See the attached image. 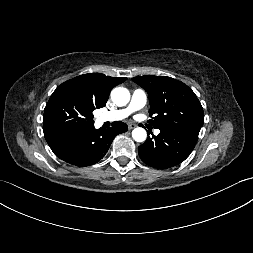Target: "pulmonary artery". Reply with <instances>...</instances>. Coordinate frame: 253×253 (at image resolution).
<instances>
[{
  "instance_id": "e3ab8cb5",
  "label": "pulmonary artery",
  "mask_w": 253,
  "mask_h": 253,
  "mask_svg": "<svg viewBox=\"0 0 253 253\" xmlns=\"http://www.w3.org/2000/svg\"><path fill=\"white\" fill-rule=\"evenodd\" d=\"M147 103V94L142 89H135L132 92L129 104L122 109L114 110L110 112H104L99 115L98 120L100 123L112 122L125 119L133 112L143 108ZM160 130L156 129L155 134H158Z\"/></svg>"
}]
</instances>
